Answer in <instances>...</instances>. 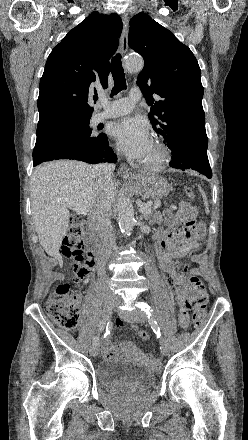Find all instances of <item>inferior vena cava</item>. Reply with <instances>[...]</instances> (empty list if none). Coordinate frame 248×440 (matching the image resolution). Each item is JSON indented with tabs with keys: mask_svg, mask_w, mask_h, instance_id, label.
Listing matches in <instances>:
<instances>
[{
	"mask_svg": "<svg viewBox=\"0 0 248 440\" xmlns=\"http://www.w3.org/2000/svg\"><path fill=\"white\" fill-rule=\"evenodd\" d=\"M114 164L102 163L93 167V174L100 180H112ZM111 203L102 199L99 200L89 212L88 221L91 228L99 235L102 242L100 261L105 263L115 245V235L110 221ZM104 273V271L102 270Z\"/></svg>",
	"mask_w": 248,
	"mask_h": 440,
	"instance_id": "inferior-vena-cava-1",
	"label": "inferior vena cava"
}]
</instances>
